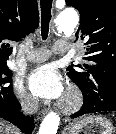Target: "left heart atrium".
I'll return each mask as SVG.
<instances>
[{
    "label": "left heart atrium",
    "instance_id": "1",
    "mask_svg": "<svg viewBox=\"0 0 116 134\" xmlns=\"http://www.w3.org/2000/svg\"><path fill=\"white\" fill-rule=\"evenodd\" d=\"M30 92L40 98L55 100L64 94L62 77L52 64H45L33 69L27 77Z\"/></svg>",
    "mask_w": 116,
    "mask_h": 134
}]
</instances>
